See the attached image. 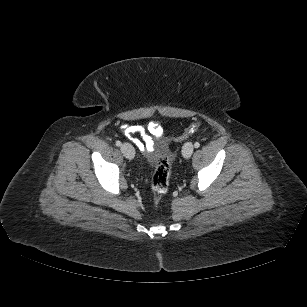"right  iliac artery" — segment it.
Listing matches in <instances>:
<instances>
[{
  "mask_svg": "<svg viewBox=\"0 0 307 307\" xmlns=\"http://www.w3.org/2000/svg\"><path fill=\"white\" fill-rule=\"evenodd\" d=\"M122 143L120 141H116V146L120 147Z\"/></svg>",
  "mask_w": 307,
  "mask_h": 307,
  "instance_id": "obj_1",
  "label": "right iliac artery"
}]
</instances>
